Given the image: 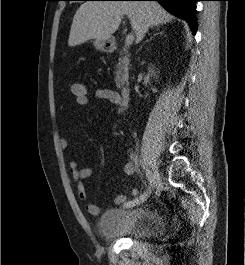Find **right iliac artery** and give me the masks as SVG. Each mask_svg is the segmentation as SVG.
Masks as SVG:
<instances>
[{
  "mask_svg": "<svg viewBox=\"0 0 245 265\" xmlns=\"http://www.w3.org/2000/svg\"><path fill=\"white\" fill-rule=\"evenodd\" d=\"M131 158H133V160L135 161V164H137V162H138L137 158L133 154H131ZM146 177H147V179L149 181V184L152 185V176H151L150 171L146 170ZM148 194H149V192L147 190L139 198H135V199H133L131 201L125 202L123 206L124 207H133L135 205L143 204L147 200Z\"/></svg>",
  "mask_w": 245,
  "mask_h": 265,
  "instance_id": "1",
  "label": "right iliac artery"
}]
</instances>
